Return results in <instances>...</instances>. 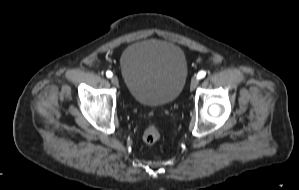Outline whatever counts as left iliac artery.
<instances>
[{
  "label": "left iliac artery",
  "mask_w": 299,
  "mask_h": 190,
  "mask_svg": "<svg viewBox=\"0 0 299 190\" xmlns=\"http://www.w3.org/2000/svg\"><path fill=\"white\" fill-rule=\"evenodd\" d=\"M205 75H206V72H205V71H200V72L197 74V78H198V79H202V78L205 77Z\"/></svg>",
  "instance_id": "obj_1"
}]
</instances>
